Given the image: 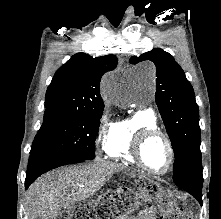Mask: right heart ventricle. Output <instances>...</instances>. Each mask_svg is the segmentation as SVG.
Masks as SVG:
<instances>
[{
	"label": "right heart ventricle",
	"mask_w": 221,
	"mask_h": 219,
	"mask_svg": "<svg viewBox=\"0 0 221 219\" xmlns=\"http://www.w3.org/2000/svg\"><path fill=\"white\" fill-rule=\"evenodd\" d=\"M145 127L157 128V119L151 110H139L113 122L104 149L106 155L117 161L137 164L131 154V144L136 132Z\"/></svg>",
	"instance_id": "right-heart-ventricle-1"
}]
</instances>
